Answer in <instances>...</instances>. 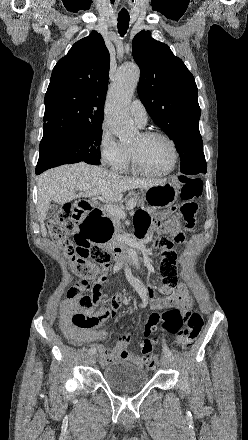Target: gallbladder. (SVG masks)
Segmentation results:
<instances>
[{
  "mask_svg": "<svg viewBox=\"0 0 248 440\" xmlns=\"http://www.w3.org/2000/svg\"><path fill=\"white\" fill-rule=\"evenodd\" d=\"M57 209H58L57 205H55V204L50 205L45 218L50 219L51 217H53V215L56 213Z\"/></svg>",
  "mask_w": 248,
  "mask_h": 440,
  "instance_id": "bac80fb5",
  "label": "gallbladder"
}]
</instances>
